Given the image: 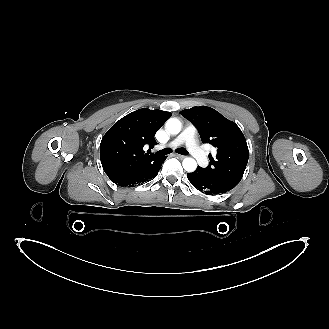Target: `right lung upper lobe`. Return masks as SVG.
Returning a JSON list of instances; mask_svg holds the SVG:
<instances>
[{"label": "right lung upper lobe", "mask_w": 329, "mask_h": 329, "mask_svg": "<svg viewBox=\"0 0 329 329\" xmlns=\"http://www.w3.org/2000/svg\"><path fill=\"white\" fill-rule=\"evenodd\" d=\"M170 116V112L142 108L124 116L107 131L100 144V159L111 181L127 180L161 158L145 153L143 147L157 143L154 135Z\"/></svg>", "instance_id": "obj_1"}]
</instances>
